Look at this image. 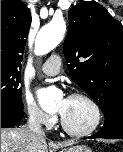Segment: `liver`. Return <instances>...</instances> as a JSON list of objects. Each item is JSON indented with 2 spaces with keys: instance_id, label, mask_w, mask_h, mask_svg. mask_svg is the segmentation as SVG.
Segmentation results:
<instances>
[{
  "instance_id": "obj_1",
  "label": "liver",
  "mask_w": 123,
  "mask_h": 152,
  "mask_svg": "<svg viewBox=\"0 0 123 152\" xmlns=\"http://www.w3.org/2000/svg\"><path fill=\"white\" fill-rule=\"evenodd\" d=\"M73 142H46L45 137L35 135L27 128L1 129V152H56L58 148L71 146Z\"/></svg>"
}]
</instances>
